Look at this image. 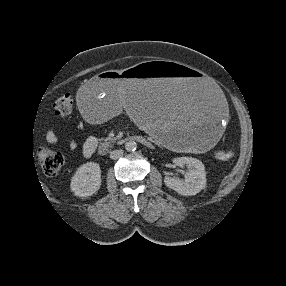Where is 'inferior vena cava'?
Masks as SVG:
<instances>
[{"label": "inferior vena cava", "mask_w": 286, "mask_h": 286, "mask_svg": "<svg viewBox=\"0 0 286 286\" xmlns=\"http://www.w3.org/2000/svg\"><path fill=\"white\" fill-rule=\"evenodd\" d=\"M123 155V150H114L110 152V158L116 160Z\"/></svg>", "instance_id": "inferior-vena-cava-1"}]
</instances>
